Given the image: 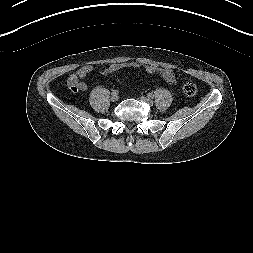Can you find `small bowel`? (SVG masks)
<instances>
[{
  "mask_svg": "<svg viewBox=\"0 0 253 253\" xmlns=\"http://www.w3.org/2000/svg\"><path fill=\"white\" fill-rule=\"evenodd\" d=\"M143 67L147 73H156L160 77H162L165 81L168 83L175 85L177 80L175 74L168 69H163V68H158V67H153L150 65H142L136 62H131V63H113L108 66V68L105 70L106 74L112 73L122 67H131V68H138V67ZM93 71V67L91 65H85L82 66L78 71L77 75L79 76L80 80L78 83V88L80 91H86L87 90V84L83 81V79Z\"/></svg>",
  "mask_w": 253,
  "mask_h": 253,
  "instance_id": "c3829d8e",
  "label": "small bowel"
}]
</instances>
